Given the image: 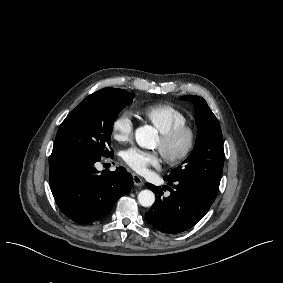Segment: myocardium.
Instances as JSON below:
<instances>
[{
  "instance_id": "1",
  "label": "myocardium",
  "mask_w": 283,
  "mask_h": 283,
  "mask_svg": "<svg viewBox=\"0 0 283 283\" xmlns=\"http://www.w3.org/2000/svg\"><path fill=\"white\" fill-rule=\"evenodd\" d=\"M181 137H186L187 141L184 148L180 152H161L164 160L171 166L180 165L190 158L197 146V130L193 125L184 123L174 126L172 129L161 134L160 136L161 143L165 147L174 146Z\"/></svg>"
}]
</instances>
